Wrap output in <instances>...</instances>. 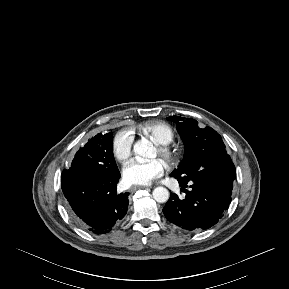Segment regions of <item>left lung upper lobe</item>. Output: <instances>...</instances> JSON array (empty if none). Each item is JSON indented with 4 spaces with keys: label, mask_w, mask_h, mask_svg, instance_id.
<instances>
[{
    "label": "left lung upper lobe",
    "mask_w": 289,
    "mask_h": 289,
    "mask_svg": "<svg viewBox=\"0 0 289 289\" xmlns=\"http://www.w3.org/2000/svg\"><path fill=\"white\" fill-rule=\"evenodd\" d=\"M167 120L176 123L185 147L183 160L172 176L184 184L206 182L232 191L236 169L221 136L210 127L200 128L191 118L170 116Z\"/></svg>",
    "instance_id": "5c2ea615"
}]
</instances>
